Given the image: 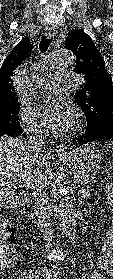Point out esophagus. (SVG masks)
Masks as SVG:
<instances>
[{"instance_id": "esophagus-1", "label": "esophagus", "mask_w": 113, "mask_h": 279, "mask_svg": "<svg viewBox=\"0 0 113 279\" xmlns=\"http://www.w3.org/2000/svg\"><path fill=\"white\" fill-rule=\"evenodd\" d=\"M56 34H57V29L55 27L49 28L48 31L46 32V36L48 38H52V37L56 36ZM56 151H57L58 156H60V157H64L68 154V148L63 144L59 145L57 147Z\"/></svg>"}]
</instances>
